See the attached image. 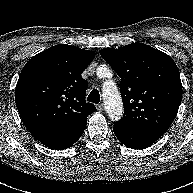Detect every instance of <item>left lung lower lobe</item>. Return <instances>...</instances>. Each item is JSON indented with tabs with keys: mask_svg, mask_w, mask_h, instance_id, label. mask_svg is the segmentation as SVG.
I'll use <instances>...</instances> for the list:
<instances>
[{
	"mask_svg": "<svg viewBox=\"0 0 193 193\" xmlns=\"http://www.w3.org/2000/svg\"><path fill=\"white\" fill-rule=\"evenodd\" d=\"M114 134L125 146L143 149L156 142L164 133L160 131H127L114 126Z\"/></svg>",
	"mask_w": 193,
	"mask_h": 193,
	"instance_id": "obj_1",
	"label": "left lung lower lobe"
}]
</instances>
